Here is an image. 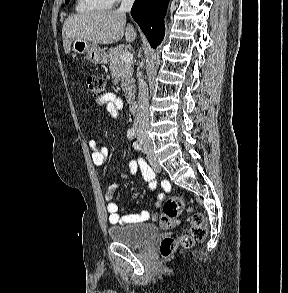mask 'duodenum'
<instances>
[{
	"label": "duodenum",
	"mask_w": 288,
	"mask_h": 293,
	"mask_svg": "<svg viewBox=\"0 0 288 293\" xmlns=\"http://www.w3.org/2000/svg\"><path fill=\"white\" fill-rule=\"evenodd\" d=\"M129 110L132 113H136L138 111V103L135 99H130L129 100Z\"/></svg>",
	"instance_id": "obj_1"
}]
</instances>
